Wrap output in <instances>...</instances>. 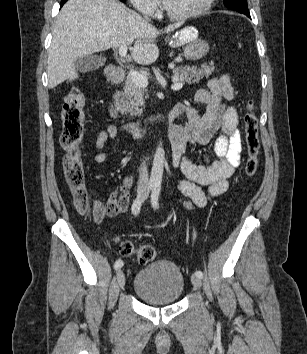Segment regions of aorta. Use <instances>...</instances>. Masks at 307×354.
I'll return each instance as SVG.
<instances>
[{
    "instance_id": "1",
    "label": "aorta",
    "mask_w": 307,
    "mask_h": 354,
    "mask_svg": "<svg viewBox=\"0 0 307 354\" xmlns=\"http://www.w3.org/2000/svg\"><path fill=\"white\" fill-rule=\"evenodd\" d=\"M164 169V149L160 145L156 148L151 169L150 184L161 185Z\"/></svg>"
}]
</instances>
